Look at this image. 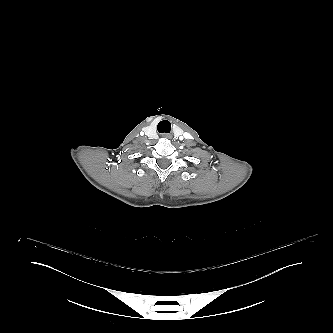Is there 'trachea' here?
Returning a JSON list of instances; mask_svg holds the SVG:
<instances>
[{
  "label": "trachea",
  "instance_id": "1",
  "mask_svg": "<svg viewBox=\"0 0 333 333\" xmlns=\"http://www.w3.org/2000/svg\"><path fill=\"white\" fill-rule=\"evenodd\" d=\"M170 123L169 121H161L159 122L158 126H157V130L159 133H169L170 132Z\"/></svg>",
  "mask_w": 333,
  "mask_h": 333
}]
</instances>
